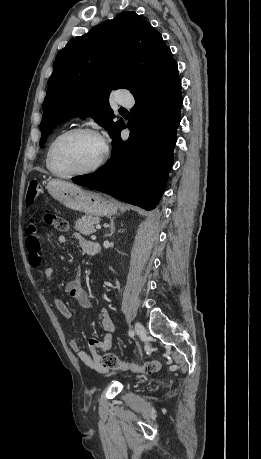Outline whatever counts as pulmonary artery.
Instances as JSON below:
<instances>
[{"mask_svg": "<svg viewBox=\"0 0 261 459\" xmlns=\"http://www.w3.org/2000/svg\"><path fill=\"white\" fill-rule=\"evenodd\" d=\"M117 102H118V104H120L122 106L129 107V106H131L133 104V99L128 95L121 94L118 97Z\"/></svg>", "mask_w": 261, "mask_h": 459, "instance_id": "obj_1", "label": "pulmonary artery"}]
</instances>
